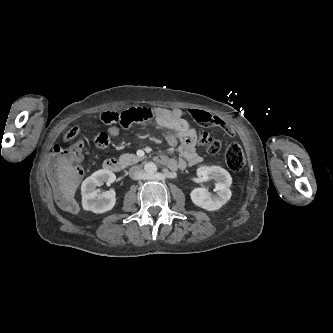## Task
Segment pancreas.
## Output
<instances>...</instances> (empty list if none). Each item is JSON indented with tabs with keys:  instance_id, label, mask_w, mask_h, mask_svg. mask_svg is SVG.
<instances>
[{
	"instance_id": "cf45deb5",
	"label": "pancreas",
	"mask_w": 333,
	"mask_h": 333,
	"mask_svg": "<svg viewBox=\"0 0 333 333\" xmlns=\"http://www.w3.org/2000/svg\"><path fill=\"white\" fill-rule=\"evenodd\" d=\"M143 160V158L135 155V154H123L120 156V161L125 165L129 166L135 163H138L139 161Z\"/></svg>"
}]
</instances>
